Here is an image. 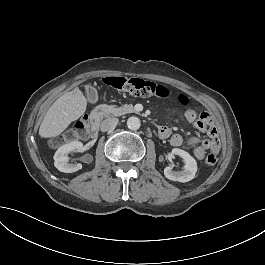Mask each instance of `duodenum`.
<instances>
[{
	"instance_id": "1",
	"label": "duodenum",
	"mask_w": 265,
	"mask_h": 265,
	"mask_svg": "<svg viewBox=\"0 0 265 265\" xmlns=\"http://www.w3.org/2000/svg\"><path fill=\"white\" fill-rule=\"evenodd\" d=\"M108 112V108L104 105H98L92 110L90 113V127L92 130L99 128L100 119Z\"/></svg>"
}]
</instances>
